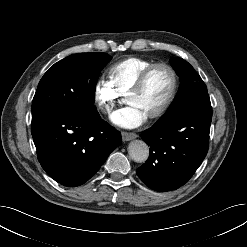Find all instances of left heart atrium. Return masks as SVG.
Here are the masks:
<instances>
[{
    "mask_svg": "<svg viewBox=\"0 0 247 247\" xmlns=\"http://www.w3.org/2000/svg\"><path fill=\"white\" fill-rule=\"evenodd\" d=\"M146 119L147 116L134 105L120 109L111 116L112 123L125 129L137 128L142 125Z\"/></svg>",
    "mask_w": 247,
    "mask_h": 247,
    "instance_id": "1",
    "label": "left heart atrium"
}]
</instances>
